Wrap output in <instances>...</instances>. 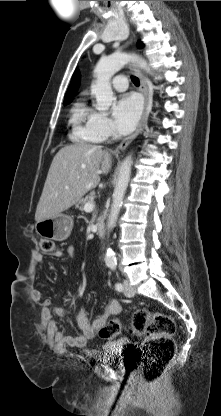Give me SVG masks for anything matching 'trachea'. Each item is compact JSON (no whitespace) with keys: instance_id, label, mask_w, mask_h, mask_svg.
Masks as SVG:
<instances>
[{"instance_id":"1","label":"trachea","mask_w":221,"mask_h":416,"mask_svg":"<svg viewBox=\"0 0 221 416\" xmlns=\"http://www.w3.org/2000/svg\"><path fill=\"white\" fill-rule=\"evenodd\" d=\"M132 82L136 85L139 86V79L136 77H132Z\"/></svg>"}]
</instances>
